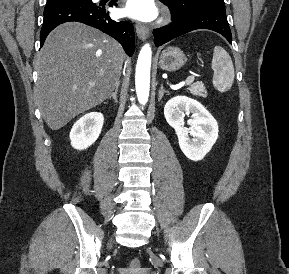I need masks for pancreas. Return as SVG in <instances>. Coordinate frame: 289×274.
I'll return each instance as SVG.
<instances>
[{"instance_id": "pancreas-1", "label": "pancreas", "mask_w": 289, "mask_h": 274, "mask_svg": "<svg viewBox=\"0 0 289 274\" xmlns=\"http://www.w3.org/2000/svg\"><path fill=\"white\" fill-rule=\"evenodd\" d=\"M188 90H189L190 93L193 94V95L200 96V97H203V98H206V97H207L206 88H205L204 84L201 83V82L193 83V84L188 88Z\"/></svg>"}]
</instances>
